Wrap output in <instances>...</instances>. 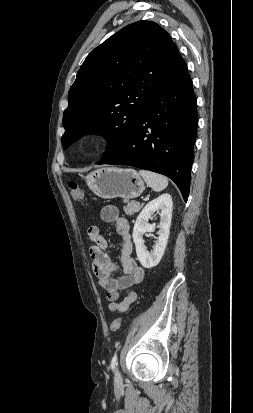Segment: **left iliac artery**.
I'll return each mask as SVG.
<instances>
[{
    "label": "left iliac artery",
    "mask_w": 253,
    "mask_h": 413,
    "mask_svg": "<svg viewBox=\"0 0 253 413\" xmlns=\"http://www.w3.org/2000/svg\"><path fill=\"white\" fill-rule=\"evenodd\" d=\"M117 366V355L115 354L111 360V368L112 370L115 369V367Z\"/></svg>",
    "instance_id": "44dca946"
}]
</instances>
